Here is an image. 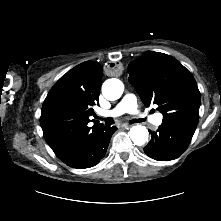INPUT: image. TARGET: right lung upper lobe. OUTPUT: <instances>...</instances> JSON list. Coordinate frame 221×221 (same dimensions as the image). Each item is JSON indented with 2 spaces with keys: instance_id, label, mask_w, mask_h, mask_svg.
I'll return each mask as SVG.
<instances>
[{
  "instance_id": "cb5924a9",
  "label": "right lung upper lobe",
  "mask_w": 221,
  "mask_h": 221,
  "mask_svg": "<svg viewBox=\"0 0 221 221\" xmlns=\"http://www.w3.org/2000/svg\"><path fill=\"white\" fill-rule=\"evenodd\" d=\"M102 67L86 61L68 71L49 91L41 111L40 124L45 140L59 159L78 149L94 131L103 127L90 116L98 102Z\"/></svg>"
}]
</instances>
